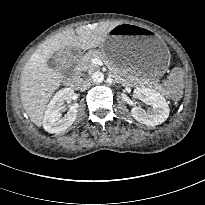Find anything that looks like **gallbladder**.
<instances>
[{
    "label": "gallbladder",
    "mask_w": 205,
    "mask_h": 205,
    "mask_svg": "<svg viewBox=\"0 0 205 205\" xmlns=\"http://www.w3.org/2000/svg\"><path fill=\"white\" fill-rule=\"evenodd\" d=\"M68 50L67 49H61L57 52H55L48 60L47 65L53 70H61L64 75H67L69 72V69L67 68V64L62 63L64 61V58L67 57Z\"/></svg>",
    "instance_id": "gallbladder-1"
}]
</instances>
